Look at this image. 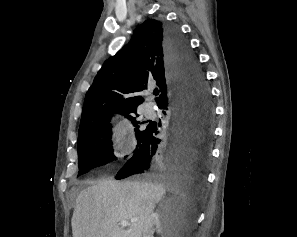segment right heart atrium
Listing matches in <instances>:
<instances>
[{
    "instance_id": "1",
    "label": "right heart atrium",
    "mask_w": 297,
    "mask_h": 237,
    "mask_svg": "<svg viewBox=\"0 0 297 237\" xmlns=\"http://www.w3.org/2000/svg\"><path fill=\"white\" fill-rule=\"evenodd\" d=\"M123 126L122 124H117L114 128V132L116 134V144L118 146H122L123 145V142H122V135H123Z\"/></svg>"
}]
</instances>
